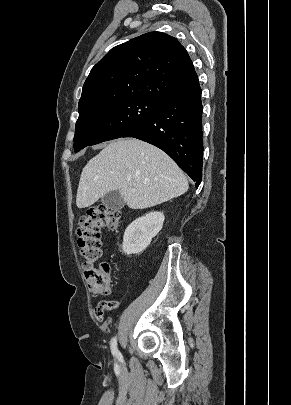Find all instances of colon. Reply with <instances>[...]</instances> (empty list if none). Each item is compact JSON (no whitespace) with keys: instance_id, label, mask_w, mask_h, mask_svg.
<instances>
[{"instance_id":"colon-1","label":"colon","mask_w":291,"mask_h":405,"mask_svg":"<svg viewBox=\"0 0 291 405\" xmlns=\"http://www.w3.org/2000/svg\"><path fill=\"white\" fill-rule=\"evenodd\" d=\"M120 222V212L106 207H94L87 211L77 229L78 247L83 259L84 274L90 291L96 295H108L111 291L113 275L108 263L99 262L101 249V230H114Z\"/></svg>"}]
</instances>
